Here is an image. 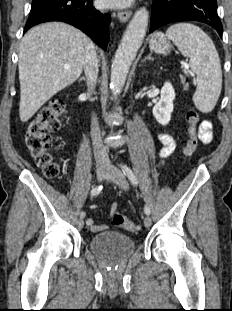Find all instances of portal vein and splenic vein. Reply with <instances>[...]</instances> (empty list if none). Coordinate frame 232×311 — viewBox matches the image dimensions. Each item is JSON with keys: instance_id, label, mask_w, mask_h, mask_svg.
Returning a JSON list of instances; mask_svg holds the SVG:
<instances>
[{"instance_id": "18ae733b", "label": "portal vein and splenic vein", "mask_w": 232, "mask_h": 311, "mask_svg": "<svg viewBox=\"0 0 232 311\" xmlns=\"http://www.w3.org/2000/svg\"><path fill=\"white\" fill-rule=\"evenodd\" d=\"M69 68H70L69 65L64 66V69H69Z\"/></svg>"}]
</instances>
